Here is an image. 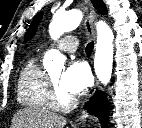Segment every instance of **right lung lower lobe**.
I'll list each match as a JSON object with an SVG mask.
<instances>
[{"instance_id":"right-lung-lower-lobe-1","label":"right lung lower lobe","mask_w":142,"mask_h":128,"mask_svg":"<svg viewBox=\"0 0 142 128\" xmlns=\"http://www.w3.org/2000/svg\"><path fill=\"white\" fill-rule=\"evenodd\" d=\"M85 108L88 109L90 114L95 115L100 119L102 127L107 126L109 118V103L103 92H96Z\"/></svg>"}]
</instances>
